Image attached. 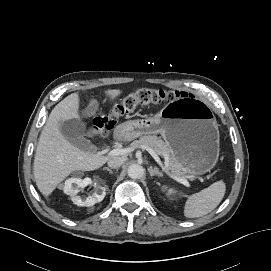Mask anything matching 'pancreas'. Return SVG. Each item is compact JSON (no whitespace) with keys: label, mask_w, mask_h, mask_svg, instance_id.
<instances>
[{"label":"pancreas","mask_w":271,"mask_h":271,"mask_svg":"<svg viewBox=\"0 0 271 271\" xmlns=\"http://www.w3.org/2000/svg\"><path fill=\"white\" fill-rule=\"evenodd\" d=\"M132 147H148L153 149V151L165 158L166 169L174 175L182 176L184 168L174 157L170 146L156 136H142L139 140H135L131 144Z\"/></svg>","instance_id":"pancreas-1"}]
</instances>
